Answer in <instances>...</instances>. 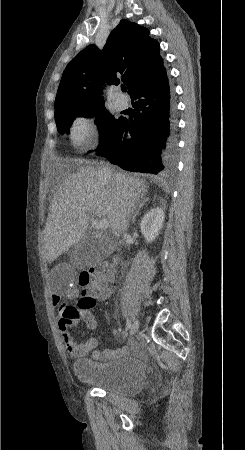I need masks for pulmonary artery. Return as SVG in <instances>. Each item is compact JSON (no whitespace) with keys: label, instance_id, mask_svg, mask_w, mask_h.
Instances as JSON below:
<instances>
[{"label":"pulmonary artery","instance_id":"e3ab8cb5","mask_svg":"<svg viewBox=\"0 0 245 450\" xmlns=\"http://www.w3.org/2000/svg\"><path fill=\"white\" fill-rule=\"evenodd\" d=\"M115 102L120 109H123L127 105V100L123 97L121 92L116 93Z\"/></svg>","mask_w":245,"mask_h":450}]
</instances>
